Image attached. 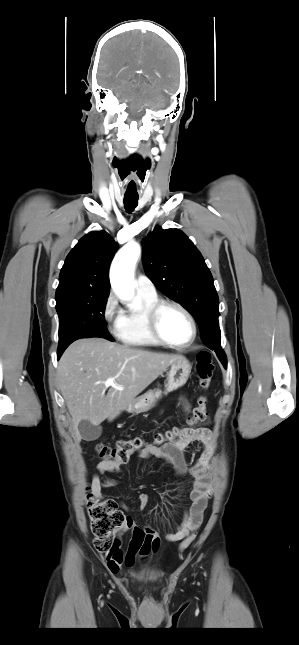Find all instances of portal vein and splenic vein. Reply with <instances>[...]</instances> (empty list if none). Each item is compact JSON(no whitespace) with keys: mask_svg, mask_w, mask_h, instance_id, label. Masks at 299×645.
<instances>
[{"mask_svg":"<svg viewBox=\"0 0 299 645\" xmlns=\"http://www.w3.org/2000/svg\"><path fill=\"white\" fill-rule=\"evenodd\" d=\"M104 384H105V386H107V387L111 386V387H114V388H116V389H122L121 387H119V386H117V385L115 384V382H114V378H108V379L104 382Z\"/></svg>","mask_w":299,"mask_h":645,"instance_id":"portal-vein-and-splenic-vein-1","label":"portal vein and splenic vein"}]
</instances>
